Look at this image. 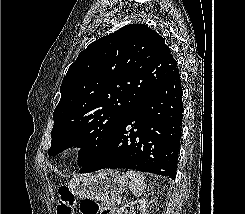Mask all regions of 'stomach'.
Wrapping results in <instances>:
<instances>
[{"instance_id": "0dacf381", "label": "stomach", "mask_w": 245, "mask_h": 214, "mask_svg": "<svg viewBox=\"0 0 245 214\" xmlns=\"http://www.w3.org/2000/svg\"><path fill=\"white\" fill-rule=\"evenodd\" d=\"M128 185L124 173L104 169L94 174L78 175L69 183L72 194L79 199L111 202L120 196Z\"/></svg>"}]
</instances>
